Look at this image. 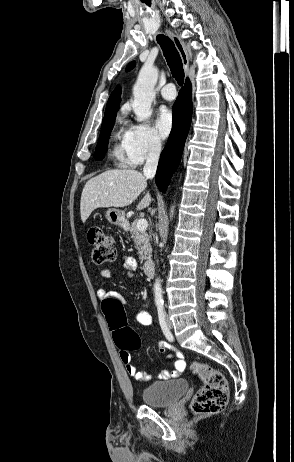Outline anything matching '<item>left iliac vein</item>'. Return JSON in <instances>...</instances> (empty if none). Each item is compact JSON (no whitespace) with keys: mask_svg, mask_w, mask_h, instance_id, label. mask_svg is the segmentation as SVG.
Wrapping results in <instances>:
<instances>
[{"mask_svg":"<svg viewBox=\"0 0 294 462\" xmlns=\"http://www.w3.org/2000/svg\"><path fill=\"white\" fill-rule=\"evenodd\" d=\"M166 321H167V325H168V328H170V329H171V328L173 327V324H172V322H171V320H170V318H169V315H168V314L166 315Z\"/></svg>","mask_w":294,"mask_h":462,"instance_id":"obj_1","label":"left iliac vein"}]
</instances>
